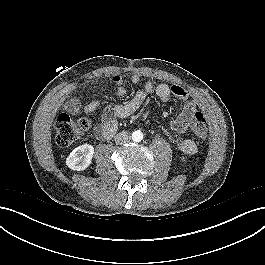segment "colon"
Listing matches in <instances>:
<instances>
[{
    "mask_svg": "<svg viewBox=\"0 0 265 265\" xmlns=\"http://www.w3.org/2000/svg\"><path fill=\"white\" fill-rule=\"evenodd\" d=\"M91 126L89 119L81 117L73 119L67 114H60L55 121L56 144L66 147L77 141L80 136ZM192 133L199 139H205L208 133L206 117L201 112H196L190 124Z\"/></svg>",
    "mask_w": 265,
    "mask_h": 265,
    "instance_id": "5ec220e1",
    "label": "colon"
}]
</instances>
